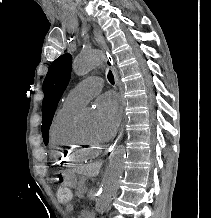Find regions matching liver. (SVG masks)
I'll return each mask as SVG.
<instances>
[{
	"instance_id": "obj_1",
	"label": "liver",
	"mask_w": 211,
	"mask_h": 218,
	"mask_svg": "<svg viewBox=\"0 0 211 218\" xmlns=\"http://www.w3.org/2000/svg\"><path fill=\"white\" fill-rule=\"evenodd\" d=\"M101 166L102 164H90V166L82 168L81 174H84V176H98Z\"/></svg>"
}]
</instances>
